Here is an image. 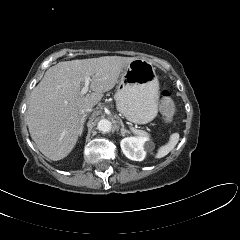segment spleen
I'll return each mask as SVG.
<instances>
[{
	"label": "spleen",
	"mask_w": 240,
	"mask_h": 240,
	"mask_svg": "<svg viewBox=\"0 0 240 240\" xmlns=\"http://www.w3.org/2000/svg\"><path fill=\"white\" fill-rule=\"evenodd\" d=\"M132 131L135 135L139 137H149L148 134L144 131L134 130V129ZM178 140H179V134L178 133L172 134L170 136L169 142L158 149V152L155 157L162 158L166 156L176 146Z\"/></svg>",
	"instance_id": "obj_1"
}]
</instances>
